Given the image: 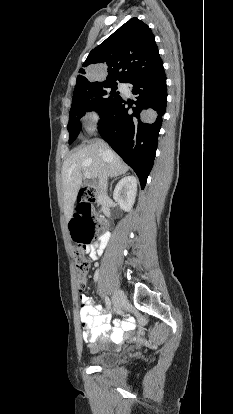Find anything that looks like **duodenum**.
<instances>
[{"label": "duodenum", "mask_w": 233, "mask_h": 414, "mask_svg": "<svg viewBox=\"0 0 233 414\" xmlns=\"http://www.w3.org/2000/svg\"><path fill=\"white\" fill-rule=\"evenodd\" d=\"M88 187L87 186H82L81 187V192L84 193V195H80L78 197V201H77V205L74 206L75 210H79L81 207H83L84 205H86L87 203H89L90 205H93L96 202V199L93 196H88L86 195V193L88 192Z\"/></svg>", "instance_id": "obj_1"}]
</instances>
